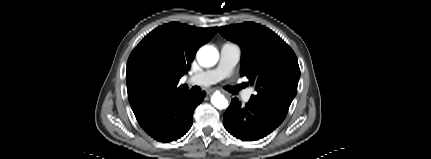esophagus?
<instances>
[{"mask_svg":"<svg viewBox=\"0 0 431 159\" xmlns=\"http://www.w3.org/2000/svg\"><path fill=\"white\" fill-rule=\"evenodd\" d=\"M214 91H215V89H213V88L208 89V90H207V94H211V93H213Z\"/></svg>","mask_w":431,"mask_h":159,"instance_id":"esophagus-1","label":"esophagus"}]
</instances>
